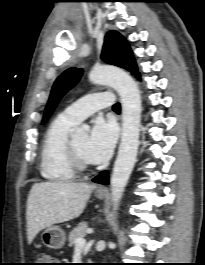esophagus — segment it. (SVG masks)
I'll use <instances>...</instances> for the list:
<instances>
[{
	"instance_id": "1",
	"label": "esophagus",
	"mask_w": 205,
	"mask_h": 265,
	"mask_svg": "<svg viewBox=\"0 0 205 265\" xmlns=\"http://www.w3.org/2000/svg\"><path fill=\"white\" fill-rule=\"evenodd\" d=\"M97 191L102 192V191H105V189H104V187L100 186L97 188Z\"/></svg>"
}]
</instances>
